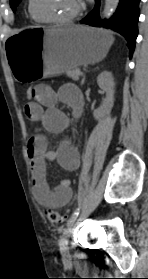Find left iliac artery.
<instances>
[{"mask_svg":"<svg viewBox=\"0 0 148 279\" xmlns=\"http://www.w3.org/2000/svg\"><path fill=\"white\" fill-rule=\"evenodd\" d=\"M79 212H80V208H77V209L74 211V213L72 214L71 218L69 219L68 225H69L70 223H72L73 221L76 220V218H77L78 215H79Z\"/></svg>","mask_w":148,"mask_h":279,"instance_id":"obj_1","label":"left iliac artery"}]
</instances>
